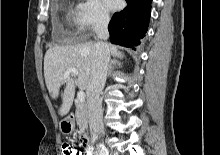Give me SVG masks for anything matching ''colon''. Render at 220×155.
<instances>
[{"instance_id":"5ec220e1","label":"colon","mask_w":220,"mask_h":155,"mask_svg":"<svg viewBox=\"0 0 220 155\" xmlns=\"http://www.w3.org/2000/svg\"><path fill=\"white\" fill-rule=\"evenodd\" d=\"M86 145H77L76 143L66 145L65 143H63L62 153L63 155H82L83 149H85Z\"/></svg>"}]
</instances>
